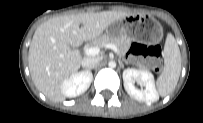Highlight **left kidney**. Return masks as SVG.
Here are the masks:
<instances>
[{
	"label": "left kidney",
	"mask_w": 203,
	"mask_h": 123,
	"mask_svg": "<svg viewBox=\"0 0 203 123\" xmlns=\"http://www.w3.org/2000/svg\"><path fill=\"white\" fill-rule=\"evenodd\" d=\"M123 81L125 90L132 98L147 103H153L159 99L152 73L128 68L123 71ZM135 82H138L144 89H137L134 86Z\"/></svg>",
	"instance_id": "left-kidney-1"
}]
</instances>
